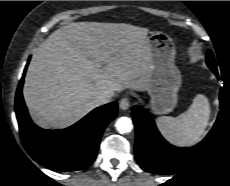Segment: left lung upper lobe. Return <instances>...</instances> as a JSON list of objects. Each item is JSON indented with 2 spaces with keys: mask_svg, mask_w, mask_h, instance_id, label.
Wrapping results in <instances>:
<instances>
[{
  "mask_svg": "<svg viewBox=\"0 0 230 186\" xmlns=\"http://www.w3.org/2000/svg\"><path fill=\"white\" fill-rule=\"evenodd\" d=\"M206 62H207V65L209 66V68H210L214 73H216V72H217L216 63H215L213 54H212V52H211L210 50H208V52H207Z\"/></svg>",
  "mask_w": 230,
  "mask_h": 186,
  "instance_id": "5c2ea615",
  "label": "left lung upper lobe"
}]
</instances>
